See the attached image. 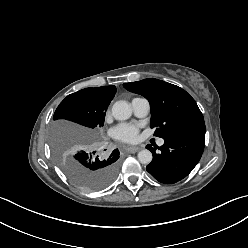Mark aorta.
Returning <instances> with one entry per match:
<instances>
[{
  "mask_svg": "<svg viewBox=\"0 0 248 248\" xmlns=\"http://www.w3.org/2000/svg\"><path fill=\"white\" fill-rule=\"evenodd\" d=\"M111 112L113 117L119 121L127 120L132 115L131 106L123 100L115 102ZM137 156L142 164H149L152 161V153L147 149L141 150Z\"/></svg>",
  "mask_w": 248,
  "mask_h": 248,
  "instance_id": "aorta-1",
  "label": "aorta"
}]
</instances>
